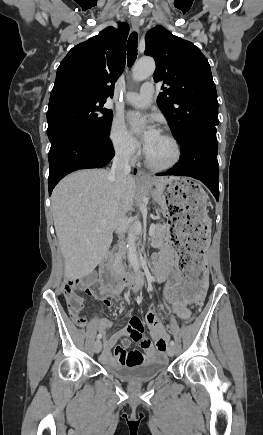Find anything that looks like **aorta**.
Masks as SVG:
<instances>
[{
  "label": "aorta",
  "mask_w": 263,
  "mask_h": 435,
  "mask_svg": "<svg viewBox=\"0 0 263 435\" xmlns=\"http://www.w3.org/2000/svg\"><path fill=\"white\" fill-rule=\"evenodd\" d=\"M155 71V61L151 57L141 58L134 66L132 76L135 81H143L150 77ZM144 204H140V209ZM139 222L137 221L131 228L127 236L128 260L135 271L139 268V260L136 251V232Z\"/></svg>",
  "instance_id": "obj_1"
}]
</instances>
